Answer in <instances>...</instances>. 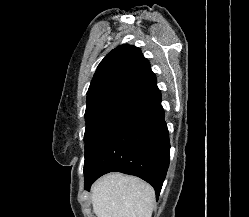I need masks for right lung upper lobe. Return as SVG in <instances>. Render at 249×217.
<instances>
[{
    "label": "right lung upper lobe",
    "instance_id": "right-lung-upper-lobe-1",
    "mask_svg": "<svg viewBox=\"0 0 249 217\" xmlns=\"http://www.w3.org/2000/svg\"><path fill=\"white\" fill-rule=\"evenodd\" d=\"M150 72V64L139 48L120 45L100 62L88 89L87 100L109 92L124 93Z\"/></svg>",
    "mask_w": 249,
    "mask_h": 217
}]
</instances>
